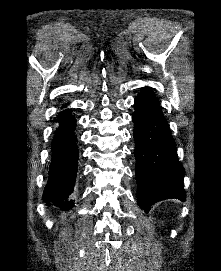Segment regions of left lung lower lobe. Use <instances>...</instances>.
I'll list each match as a JSON object with an SVG mask.
<instances>
[{
    "label": "left lung lower lobe",
    "instance_id": "left-lung-lower-lobe-1",
    "mask_svg": "<svg viewBox=\"0 0 221 271\" xmlns=\"http://www.w3.org/2000/svg\"><path fill=\"white\" fill-rule=\"evenodd\" d=\"M133 114L138 205L150 206L165 199L186 200L184 168L178 160L168 122L151 88L135 98Z\"/></svg>",
    "mask_w": 221,
    "mask_h": 271
}]
</instances>
